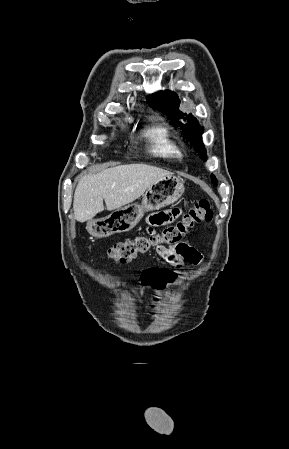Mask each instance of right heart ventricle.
<instances>
[{"label":"right heart ventricle","instance_id":"right-heart-ventricle-1","mask_svg":"<svg viewBox=\"0 0 289 449\" xmlns=\"http://www.w3.org/2000/svg\"><path fill=\"white\" fill-rule=\"evenodd\" d=\"M143 136L151 143V152L159 157L176 160L181 150L172 140L169 129L162 123H154L143 131Z\"/></svg>","mask_w":289,"mask_h":449}]
</instances>
